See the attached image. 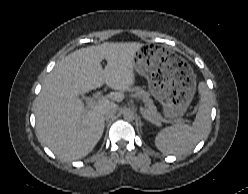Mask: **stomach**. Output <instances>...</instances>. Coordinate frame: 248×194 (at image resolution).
Wrapping results in <instances>:
<instances>
[{
  "instance_id": "obj_1",
  "label": "stomach",
  "mask_w": 248,
  "mask_h": 194,
  "mask_svg": "<svg viewBox=\"0 0 248 194\" xmlns=\"http://www.w3.org/2000/svg\"><path fill=\"white\" fill-rule=\"evenodd\" d=\"M135 71L148 81L151 95L164 107L169 119L181 117L196 90L192 67L173 51L162 46H142L135 55Z\"/></svg>"
}]
</instances>
